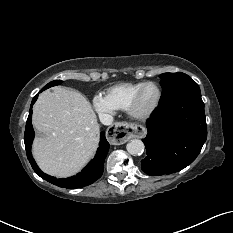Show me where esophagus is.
Wrapping results in <instances>:
<instances>
[{
  "label": "esophagus",
  "instance_id": "1",
  "mask_svg": "<svg viewBox=\"0 0 233 233\" xmlns=\"http://www.w3.org/2000/svg\"><path fill=\"white\" fill-rule=\"evenodd\" d=\"M144 135L145 129L143 126L127 122H118L105 132V139L112 144H123L129 138H142Z\"/></svg>",
  "mask_w": 233,
  "mask_h": 233
}]
</instances>
